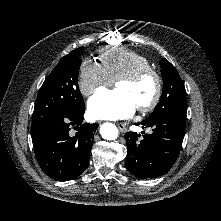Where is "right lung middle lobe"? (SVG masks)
<instances>
[{"instance_id":"dd1d6c3e","label":"right lung middle lobe","mask_w":221,"mask_h":221,"mask_svg":"<svg viewBox=\"0 0 221 221\" xmlns=\"http://www.w3.org/2000/svg\"><path fill=\"white\" fill-rule=\"evenodd\" d=\"M82 51L81 47L66 55L45 79L35 102L31 133L55 117L85 109L78 86Z\"/></svg>"}]
</instances>
